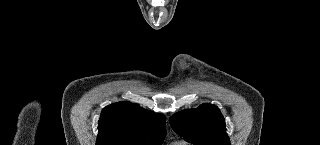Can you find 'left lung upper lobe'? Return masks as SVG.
<instances>
[{"label": "left lung upper lobe", "instance_id": "1", "mask_svg": "<svg viewBox=\"0 0 320 145\" xmlns=\"http://www.w3.org/2000/svg\"><path fill=\"white\" fill-rule=\"evenodd\" d=\"M174 131L196 145H230L220 110L211 104L183 110L170 118Z\"/></svg>", "mask_w": 320, "mask_h": 145}]
</instances>
